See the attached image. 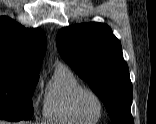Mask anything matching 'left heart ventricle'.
<instances>
[{
    "mask_svg": "<svg viewBox=\"0 0 156 124\" xmlns=\"http://www.w3.org/2000/svg\"><path fill=\"white\" fill-rule=\"evenodd\" d=\"M81 108L90 119L96 118L100 111L99 103L91 95H84L81 98Z\"/></svg>",
    "mask_w": 156,
    "mask_h": 124,
    "instance_id": "b2bd125f",
    "label": "left heart ventricle"
}]
</instances>
